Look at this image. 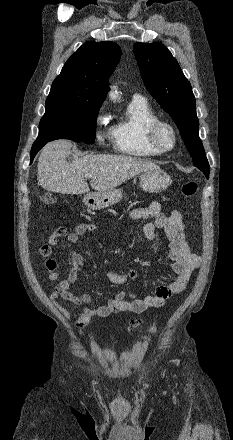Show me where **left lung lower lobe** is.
<instances>
[{
    "label": "left lung lower lobe",
    "mask_w": 233,
    "mask_h": 440,
    "mask_svg": "<svg viewBox=\"0 0 233 440\" xmlns=\"http://www.w3.org/2000/svg\"><path fill=\"white\" fill-rule=\"evenodd\" d=\"M196 167H198L205 174V176L207 178H209V173H210L209 164H207V165H198Z\"/></svg>",
    "instance_id": "1"
}]
</instances>
